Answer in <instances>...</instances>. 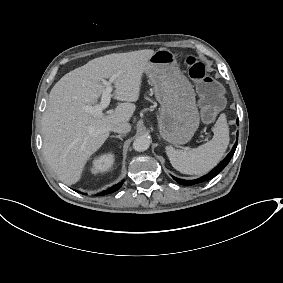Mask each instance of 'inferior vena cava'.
<instances>
[{
    "mask_svg": "<svg viewBox=\"0 0 283 283\" xmlns=\"http://www.w3.org/2000/svg\"><path fill=\"white\" fill-rule=\"evenodd\" d=\"M111 130L113 132H116V133H128L130 130H131V126L129 123H120L114 127L111 128Z\"/></svg>",
    "mask_w": 283,
    "mask_h": 283,
    "instance_id": "obj_1",
    "label": "inferior vena cava"
}]
</instances>
